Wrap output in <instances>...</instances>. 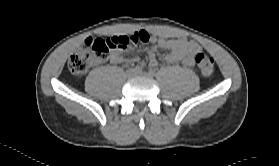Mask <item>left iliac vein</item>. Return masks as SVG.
<instances>
[{
  "instance_id": "left-iliac-vein-1",
  "label": "left iliac vein",
  "mask_w": 279,
  "mask_h": 166,
  "mask_svg": "<svg viewBox=\"0 0 279 166\" xmlns=\"http://www.w3.org/2000/svg\"><path fill=\"white\" fill-rule=\"evenodd\" d=\"M136 75H139V76H148L149 74H147L146 72H137Z\"/></svg>"
}]
</instances>
